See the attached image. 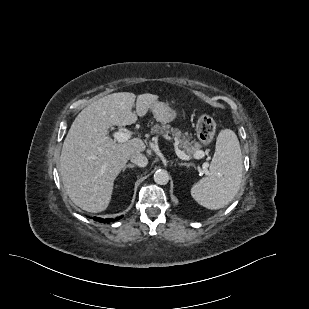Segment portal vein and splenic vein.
Returning <instances> with one entry per match:
<instances>
[{"mask_svg":"<svg viewBox=\"0 0 309 309\" xmlns=\"http://www.w3.org/2000/svg\"><path fill=\"white\" fill-rule=\"evenodd\" d=\"M131 137V133L128 132V131H118V132H115L113 133V138H114V141L115 142H118V143H123V142H126L130 139ZM166 138L169 139V137L166 136ZM174 149H175V153L176 155L182 159V160H191L192 157L185 154L183 151H181L179 148H178V145L175 143L174 144ZM205 156V153L204 151L200 150V151H197L195 153V155L193 156L194 159H201ZM203 170H204V173L205 174H208V163H204L203 166H202Z\"/></svg>","mask_w":309,"mask_h":309,"instance_id":"obj_1","label":"portal vein and splenic vein"}]
</instances>
